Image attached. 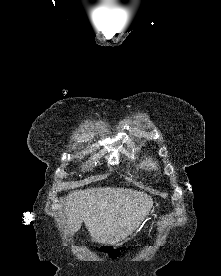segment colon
I'll use <instances>...</instances> for the list:
<instances>
[{
    "label": "colon",
    "mask_w": 221,
    "mask_h": 276,
    "mask_svg": "<svg viewBox=\"0 0 221 276\" xmlns=\"http://www.w3.org/2000/svg\"><path fill=\"white\" fill-rule=\"evenodd\" d=\"M134 246L138 247L139 243L135 242ZM103 253L106 254L110 258H116L118 256V254H119L118 251H117V247L116 246H112L111 248H105L103 250Z\"/></svg>",
    "instance_id": "obj_1"
}]
</instances>
